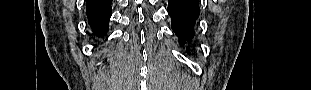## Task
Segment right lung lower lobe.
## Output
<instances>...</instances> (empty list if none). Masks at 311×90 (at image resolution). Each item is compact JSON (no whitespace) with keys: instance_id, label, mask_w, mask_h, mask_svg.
<instances>
[{"instance_id":"right-lung-lower-lobe-1","label":"right lung lower lobe","mask_w":311,"mask_h":90,"mask_svg":"<svg viewBox=\"0 0 311 90\" xmlns=\"http://www.w3.org/2000/svg\"><path fill=\"white\" fill-rule=\"evenodd\" d=\"M112 0H87L86 15L93 32L100 36L105 35L111 17Z\"/></svg>"}]
</instances>
